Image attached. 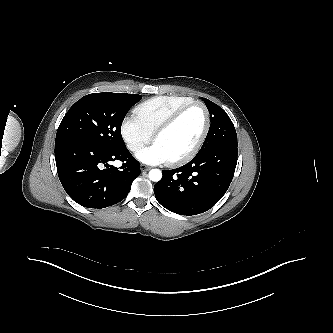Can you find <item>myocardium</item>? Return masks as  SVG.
Listing matches in <instances>:
<instances>
[{"mask_svg": "<svg viewBox=\"0 0 333 333\" xmlns=\"http://www.w3.org/2000/svg\"><path fill=\"white\" fill-rule=\"evenodd\" d=\"M195 106H200L204 111L205 123H204L202 133H201L200 137L198 138L197 142L195 143V145L188 152H186L185 154H183L181 156L168 160V162L171 165H180V164L186 163L189 160H191L193 157H195L196 154L199 152V150L201 149L202 145L204 144V142L207 138V135H208V132L210 129L211 119H210L209 109L203 102L193 101L191 103H188V104L182 106L178 110H176L163 123H161L158 126V128L154 131L153 140L156 141V139L162 133H164L165 131L170 129L188 110H190L191 108H193Z\"/></svg>", "mask_w": 333, "mask_h": 333, "instance_id": "1", "label": "myocardium"}]
</instances>
